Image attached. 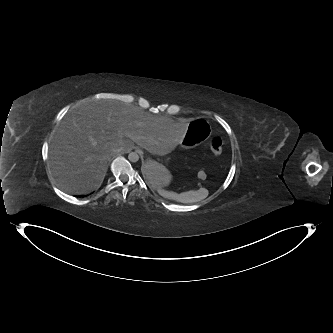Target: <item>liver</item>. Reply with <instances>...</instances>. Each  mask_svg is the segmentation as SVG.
Segmentation results:
<instances>
[{
    "label": "liver",
    "mask_w": 333,
    "mask_h": 333,
    "mask_svg": "<svg viewBox=\"0 0 333 333\" xmlns=\"http://www.w3.org/2000/svg\"><path fill=\"white\" fill-rule=\"evenodd\" d=\"M185 122L145 112L113 100H90L60 122L49 148V167L56 182L71 194H88L102 183L111 157L133 143L164 156L177 148Z\"/></svg>",
    "instance_id": "6515ba94"
}]
</instances>
